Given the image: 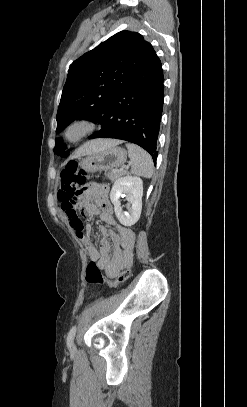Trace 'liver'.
Segmentation results:
<instances>
[{
	"instance_id": "liver-1",
	"label": "liver",
	"mask_w": 247,
	"mask_h": 407,
	"mask_svg": "<svg viewBox=\"0 0 247 407\" xmlns=\"http://www.w3.org/2000/svg\"><path fill=\"white\" fill-rule=\"evenodd\" d=\"M120 140H114V139H98V140H93L85 143L83 146H81L73 155L72 158H79L81 156L89 155L98 151H101L103 149L117 146L120 144Z\"/></svg>"
}]
</instances>
